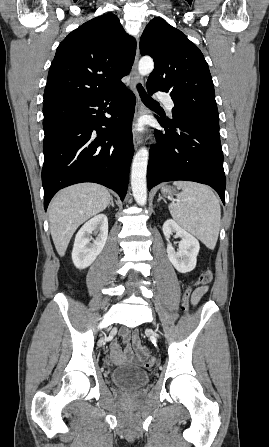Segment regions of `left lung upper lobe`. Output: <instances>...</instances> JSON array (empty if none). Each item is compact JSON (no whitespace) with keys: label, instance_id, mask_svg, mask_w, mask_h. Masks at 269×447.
Instances as JSON below:
<instances>
[{"label":"left lung upper lobe","instance_id":"1","mask_svg":"<svg viewBox=\"0 0 269 447\" xmlns=\"http://www.w3.org/2000/svg\"><path fill=\"white\" fill-rule=\"evenodd\" d=\"M140 52L150 55L155 62L147 88L170 93L175 104L173 116L219 129L212 77L195 44L180 30L156 17L141 36Z\"/></svg>","mask_w":269,"mask_h":447}]
</instances>
